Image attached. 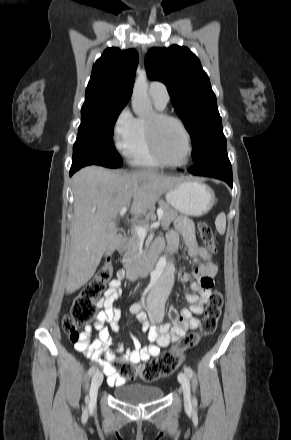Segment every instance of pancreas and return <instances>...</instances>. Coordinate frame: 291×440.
Returning a JSON list of instances; mask_svg holds the SVG:
<instances>
[{
    "instance_id": "obj_1",
    "label": "pancreas",
    "mask_w": 291,
    "mask_h": 440,
    "mask_svg": "<svg viewBox=\"0 0 291 440\" xmlns=\"http://www.w3.org/2000/svg\"><path fill=\"white\" fill-rule=\"evenodd\" d=\"M160 205L163 209L162 226L168 227L170 223L178 216V212L163 201L160 203ZM141 226L146 227L147 221L143 222ZM121 251L124 252L122 262L126 268H129L131 265L139 262V259L142 256V250L140 248V236L135 231L132 233V236L124 242L121 247Z\"/></svg>"
}]
</instances>
